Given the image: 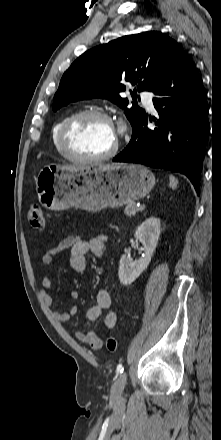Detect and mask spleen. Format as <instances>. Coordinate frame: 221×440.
I'll return each mask as SVG.
<instances>
[{
    "instance_id": "1",
    "label": "spleen",
    "mask_w": 221,
    "mask_h": 440,
    "mask_svg": "<svg viewBox=\"0 0 221 440\" xmlns=\"http://www.w3.org/2000/svg\"><path fill=\"white\" fill-rule=\"evenodd\" d=\"M178 185V180L173 176H169V187L172 189H176Z\"/></svg>"
}]
</instances>
